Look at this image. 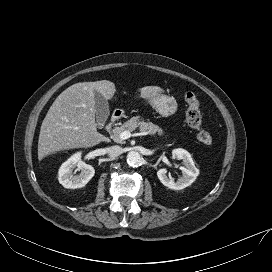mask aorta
Returning <instances> with one entry per match:
<instances>
[{"mask_svg":"<svg viewBox=\"0 0 272 272\" xmlns=\"http://www.w3.org/2000/svg\"><path fill=\"white\" fill-rule=\"evenodd\" d=\"M141 162H142V157L138 152L130 151L127 154V163L130 166L137 167L141 164Z\"/></svg>","mask_w":272,"mask_h":272,"instance_id":"obj_1","label":"aorta"}]
</instances>
